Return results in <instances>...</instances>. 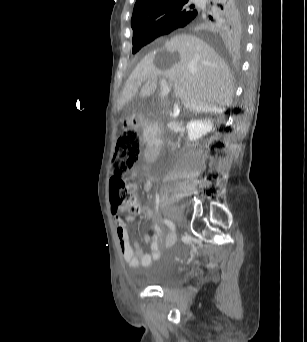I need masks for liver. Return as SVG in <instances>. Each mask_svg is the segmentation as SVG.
<instances>
[{
    "label": "liver",
    "instance_id": "obj_1",
    "mask_svg": "<svg viewBox=\"0 0 307 342\" xmlns=\"http://www.w3.org/2000/svg\"><path fill=\"white\" fill-rule=\"evenodd\" d=\"M158 76L172 82L175 98L190 112H220L231 104L234 86L227 64L200 38L180 34L156 44V50H150L137 64L121 92L117 110L136 94L152 96Z\"/></svg>",
    "mask_w": 307,
    "mask_h": 342
}]
</instances>
